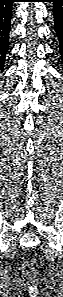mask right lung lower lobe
I'll return each mask as SVG.
<instances>
[{
    "instance_id": "1",
    "label": "right lung lower lobe",
    "mask_w": 63,
    "mask_h": 297,
    "mask_svg": "<svg viewBox=\"0 0 63 297\" xmlns=\"http://www.w3.org/2000/svg\"><path fill=\"white\" fill-rule=\"evenodd\" d=\"M14 0H0V69L3 70L9 46V31Z\"/></svg>"
}]
</instances>
